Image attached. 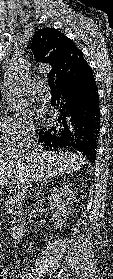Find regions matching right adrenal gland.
I'll list each match as a JSON object with an SVG mask.
<instances>
[{"mask_svg": "<svg viewBox=\"0 0 113 279\" xmlns=\"http://www.w3.org/2000/svg\"><path fill=\"white\" fill-rule=\"evenodd\" d=\"M46 183H47V180L44 181V182H42V183L40 184V190H39L38 193L36 194L35 198H37V197L39 196V194H40L41 191H42L43 186H44ZM37 185H38V184H37ZM38 187H39V185H38Z\"/></svg>", "mask_w": 113, "mask_h": 279, "instance_id": "obj_1", "label": "right adrenal gland"}]
</instances>
